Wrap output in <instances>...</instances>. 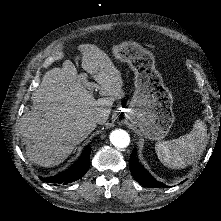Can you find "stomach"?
<instances>
[{"label": "stomach", "mask_w": 221, "mask_h": 221, "mask_svg": "<svg viewBox=\"0 0 221 221\" xmlns=\"http://www.w3.org/2000/svg\"><path fill=\"white\" fill-rule=\"evenodd\" d=\"M113 56L126 62L134 73V95L126 118L150 140L166 137L175 121L173 94L154 70L153 57L130 43L113 45Z\"/></svg>", "instance_id": "1"}]
</instances>
